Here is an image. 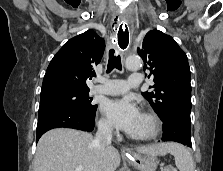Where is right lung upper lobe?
<instances>
[{
	"label": "right lung upper lobe",
	"instance_id": "cb5924a9",
	"mask_svg": "<svg viewBox=\"0 0 223 171\" xmlns=\"http://www.w3.org/2000/svg\"><path fill=\"white\" fill-rule=\"evenodd\" d=\"M105 43L93 30L70 39L53 57L44 76L41 97L69 91H88Z\"/></svg>",
	"mask_w": 223,
	"mask_h": 171
}]
</instances>
